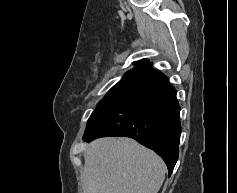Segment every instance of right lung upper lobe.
Returning a JSON list of instances; mask_svg holds the SVG:
<instances>
[{"instance_id": "obj_1", "label": "right lung upper lobe", "mask_w": 237, "mask_h": 193, "mask_svg": "<svg viewBox=\"0 0 237 193\" xmlns=\"http://www.w3.org/2000/svg\"><path fill=\"white\" fill-rule=\"evenodd\" d=\"M133 64L136 65L135 68L130 70V71H128V72H132V71H145L148 68V66L150 65L148 59H142L141 61L134 62Z\"/></svg>"}]
</instances>
